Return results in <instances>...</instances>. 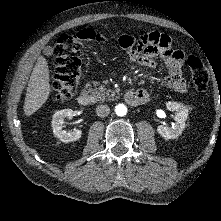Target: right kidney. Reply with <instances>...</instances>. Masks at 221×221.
Listing matches in <instances>:
<instances>
[{
	"label": "right kidney",
	"mask_w": 221,
	"mask_h": 221,
	"mask_svg": "<svg viewBox=\"0 0 221 221\" xmlns=\"http://www.w3.org/2000/svg\"><path fill=\"white\" fill-rule=\"evenodd\" d=\"M74 115V111L72 109H63L57 111L53 115L52 119V128L55 137H57L60 141L64 143H69L72 141H76L81 138L82 131L78 129H73L71 131L63 130V121L65 118H70Z\"/></svg>",
	"instance_id": "obj_1"
}]
</instances>
